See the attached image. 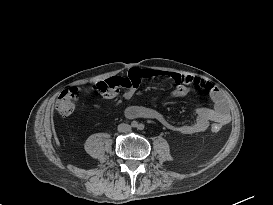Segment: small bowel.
Wrapping results in <instances>:
<instances>
[{
    "label": "small bowel",
    "mask_w": 273,
    "mask_h": 205,
    "mask_svg": "<svg viewBox=\"0 0 273 205\" xmlns=\"http://www.w3.org/2000/svg\"><path fill=\"white\" fill-rule=\"evenodd\" d=\"M135 72L145 80H154L159 77H164L175 83V87L169 93L171 98L187 96L193 92L195 87L203 89L208 92L211 100L213 101V107L198 108L196 111L195 120L191 124L176 125L155 109L141 105L129 107L127 109V115L129 117H146L155 119L167 129L182 134L203 132L209 127L210 122H214L218 125H225L229 122V107L222 92L211 82L195 76L155 69L133 70L126 76H111L98 81L94 84L93 89L102 97L107 99L117 97L122 91L123 98L130 100L136 94V87L130 84V76ZM73 89L77 90V88Z\"/></svg>",
    "instance_id": "c3829d8e"
}]
</instances>
